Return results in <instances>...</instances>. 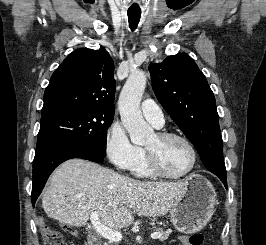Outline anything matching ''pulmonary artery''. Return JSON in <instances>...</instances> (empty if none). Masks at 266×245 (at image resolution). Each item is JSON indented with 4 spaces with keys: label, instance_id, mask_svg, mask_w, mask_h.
<instances>
[{
    "label": "pulmonary artery",
    "instance_id": "e3ab8cb5",
    "mask_svg": "<svg viewBox=\"0 0 266 245\" xmlns=\"http://www.w3.org/2000/svg\"><path fill=\"white\" fill-rule=\"evenodd\" d=\"M153 100H142L141 111L143 116L155 126H161L164 122V116L161 108L154 104Z\"/></svg>",
    "mask_w": 266,
    "mask_h": 245
}]
</instances>
